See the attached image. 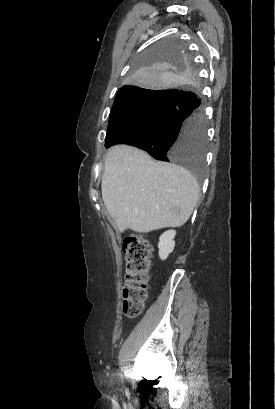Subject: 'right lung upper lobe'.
Wrapping results in <instances>:
<instances>
[{
    "mask_svg": "<svg viewBox=\"0 0 275 409\" xmlns=\"http://www.w3.org/2000/svg\"><path fill=\"white\" fill-rule=\"evenodd\" d=\"M146 91H152V90H135L134 86H123L117 92V95H116L115 101H114V105L118 104L123 99H125L126 97H128V96H130L132 94L146 92Z\"/></svg>",
    "mask_w": 275,
    "mask_h": 409,
    "instance_id": "right-lung-upper-lobe-1",
    "label": "right lung upper lobe"
}]
</instances>
